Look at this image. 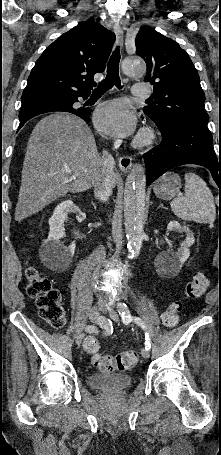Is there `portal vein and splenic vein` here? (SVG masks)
<instances>
[{"instance_id":"1","label":"portal vein and splenic vein","mask_w":221,"mask_h":455,"mask_svg":"<svg viewBox=\"0 0 221 455\" xmlns=\"http://www.w3.org/2000/svg\"><path fill=\"white\" fill-rule=\"evenodd\" d=\"M67 172H69V171H67ZM69 173H70V172H69ZM76 178H77L76 175H71V179H72V180H75Z\"/></svg>"}]
</instances>
